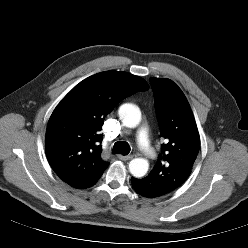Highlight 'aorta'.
<instances>
[{"instance_id":"1","label":"aorta","mask_w":248,"mask_h":248,"mask_svg":"<svg viewBox=\"0 0 248 248\" xmlns=\"http://www.w3.org/2000/svg\"><path fill=\"white\" fill-rule=\"evenodd\" d=\"M119 117L126 127L134 128L138 126L141 121V112L138 106L125 103L119 108ZM149 168V163L146 159L135 158L129 163L130 173L137 178L143 177Z\"/></svg>"}]
</instances>
